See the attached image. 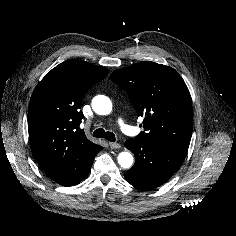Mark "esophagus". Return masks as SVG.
<instances>
[{
    "mask_svg": "<svg viewBox=\"0 0 236 236\" xmlns=\"http://www.w3.org/2000/svg\"><path fill=\"white\" fill-rule=\"evenodd\" d=\"M109 146L111 149H119L121 145L119 143L110 142Z\"/></svg>",
    "mask_w": 236,
    "mask_h": 236,
    "instance_id": "1",
    "label": "esophagus"
}]
</instances>
